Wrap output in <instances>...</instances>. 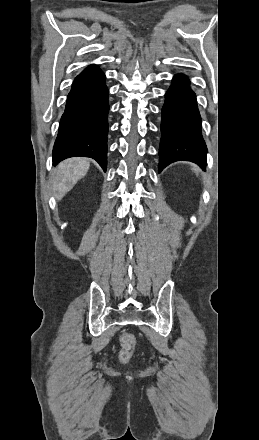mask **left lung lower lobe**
Masks as SVG:
<instances>
[{"mask_svg": "<svg viewBox=\"0 0 259 440\" xmlns=\"http://www.w3.org/2000/svg\"><path fill=\"white\" fill-rule=\"evenodd\" d=\"M162 108L159 172L179 160L206 165V144L201 135V117L195 93L184 75H176Z\"/></svg>", "mask_w": 259, "mask_h": 440, "instance_id": "1", "label": "left lung lower lobe"}]
</instances>
